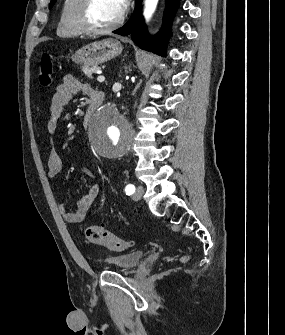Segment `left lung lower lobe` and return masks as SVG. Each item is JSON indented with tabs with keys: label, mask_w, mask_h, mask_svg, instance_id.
<instances>
[{
	"label": "left lung lower lobe",
	"mask_w": 285,
	"mask_h": 335,
	"mask_svg": "<svg viewBox=\"0 0 285 335\" xmlns=\"http://www.w3.org/2000/svg\"><path fill=\"white\" fill-rule=\"evenodd\" d=\"M142 0H135V10L127 23L114 31L119 35H130L132 40L142 49H153V52L164 56L166 41L170 36V26L174 13L179 5V0H166V8L164 11L163 25L159 33L151 39L148 36L147 28L140 13Z\"/></svg>",
	"instance_id": "0a47b994"
}]
</instances>
